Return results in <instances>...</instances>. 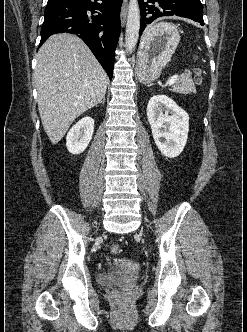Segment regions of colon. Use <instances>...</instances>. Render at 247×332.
I'll list each match as a JSON object with an SVG mask.
<instances>
[{
	"mask_svg": "<svg viewBox=\"0 0 247 332\" xmlns=\"http://www.w3.org/2000/svg\"><path fill=\"white\" fill-rule=\"evenodd\" d=\"M195 79L198 83L202 81L201 70L199 68L195 69ZM110 251L113 255H118L121 253V248L118 244H112L110 247Z\"/></svg>",
	"mask_w": 247,
	"mask_h": 332,
	"instance_id": "5ec220e1",
	"label": "colon"
}]
</instances>
